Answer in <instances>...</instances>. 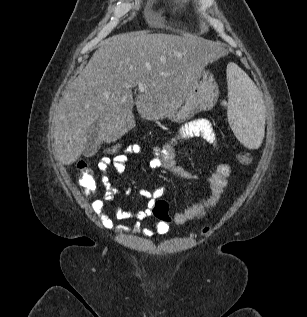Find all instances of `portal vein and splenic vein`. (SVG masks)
Listing matches in <instances>:
<instances>
[{
    "instance_id": "portal-vein-and-splenic-vein-1",
    "label": "portal vein and splenic vein",
    "mask_w": 307,
    "mask_h": 317,
    "mask_svg": "<svg viewBox=\"0 0 307 317\" xmlns=\"http://www.w3.org/2000/svg\"><path fill=\"white\" fill-rule=\"evenodd\" d=\"M137 86H138V88H139L140 90H143V88H144L143 83H140V82L137 84Z\"/></svg>"
}]
</instances>
